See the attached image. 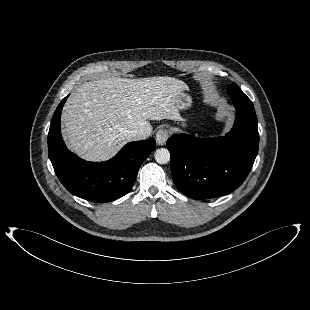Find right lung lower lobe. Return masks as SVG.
Listing matches in <instances>:
<instances>
[{
    "instance_id": "98d812e1",
    "label": "right lung lower lobe",
    "mask_w": 310,
    "mask_h": 310,
    "mask_svg": "<svg viewBox=\"0 0 310 310\" xmlns=\"http://www.w3.org/2000/svg\"><path fill=\"white\" fill-rule=\"evenodd\" d=\"M67 97L58 105L48 133L49 158L57 177L70 193L88 201L109 202L124 196L154 150L155 139L128 143L108 161L87 162L70 152L61 136L60 117Z\"/></svg>"
}]
</instances>
